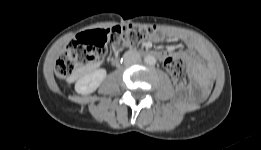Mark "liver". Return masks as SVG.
<instances>
[{
  "label": "liver",
  "instance_id": "obj_1",
  "mask_svg": "<svg viewBox=\"0 0 261 150\" xmlns=\"http://www.w3.org/2000/svg\"><path fill=\"white\" fill-rule=\"evenodd\" d=\"M89 70H90V66H87V67L84 68V72H87Z\"/></svg>",
  "mask_w": 261,
  "mask_h": 150
}]
</instances>
